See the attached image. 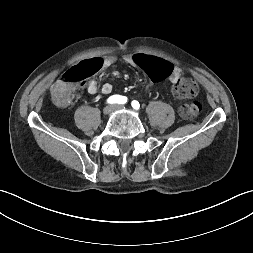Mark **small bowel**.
Instances as JSON below:
<instances>
[{
  "mask_svg": "<svg viewBox=\"0 0 253 253\" xmlns=\"http://www.w3.org/2000/svg\"><path fill=\"white\" fill-rule=\"evenodd\" d=\"M137 54L138 53L126 55L124 57V61L133 67L141 68V66L136 62ZM96 59L100 60L102 68L112 67L116 62V57L114 56H106L104 58H96ZM171 67H172L171 73L167 77L169 81L175 85L182 78L183 71L180 67L172 66V65ZM86 89L89 94H92V95L96 94L98 92L97 82L94 79L89 80L86 84ZM112 89L113 87L110 83H105L101 87V92L103 94H110L112 92Z\"/></svg>",
  "mask_w": 253,
  "mask_h": 253,
  "instance_id": "1",
  "label": "small bowel"
}]
</instances>
